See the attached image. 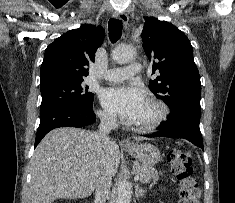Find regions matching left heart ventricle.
<instances>
[{"label": "left heart ventricle", "mask_w": 235, "mask_h": 203, "mask_svg": "<svg viewBox=\"0 0 235 203\" xmlns=\"http://www.w3.org/2000/svg\"><path fill=\"white\" fill-rule=\"evenodd\" d=\"M155 115H156V109L153 106L146 104L143 111L141 112L139 117L134 121V123L136 124L146 123L152 120L155 117Z\"/></svg>", "instance_id": "left-heart-ventricle-1"}]
</instances>
